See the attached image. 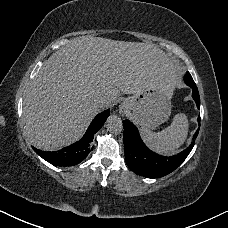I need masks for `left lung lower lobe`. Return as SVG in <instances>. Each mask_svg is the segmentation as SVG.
Listing matches in <instances>:
<instances>
[{
	"label": "left lung lower lobe",
	"instance_id": "left-lung-lower-lobe-1",
	"mask_svg": "<svg viewBox=\"0 0 228 228\" xmlns=\"http://www.w3.org/2000/svg\"><path fill=\"white\" fill-rule=\"evenodd\" d=\"M185 83L192 88V97L200 108V97L197 86L189 72L184 77ZM200 126V116L198 117ZM124 127V152L127 166L136 174L147 178L163 177L174 171L191 152L199 128L193 138V143L178 155L166 157L160 156L146 147L142 142L137 128L128 120L123 121Z\"/></svg>",
	"mask_w": 228,
	"mask_h": 228
}]
</instances>
